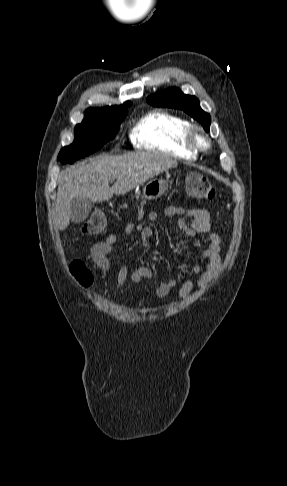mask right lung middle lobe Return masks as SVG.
Here are the masks:
<instances>
[{"label":"right lung middle lobe","instance_id":"right-lung-middle-lobe-1","mask_svg":"<svg viewBox=\"0 0 287 486\" xmlns=\"http://www.w3.org/2000/svg\"><path fill=\"white\" fill-rule=\"evenodd\" d=\"M126 115L86 111L82 123L75 126L74 142L60 151L58 160L63 164L73 163L100 149L115 137Z\"/></svg>","mask_w":287,"mask_h":486}]
</instances>
